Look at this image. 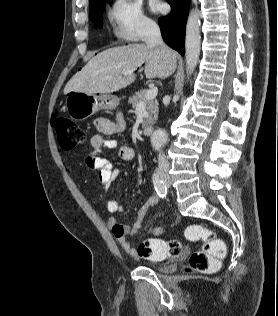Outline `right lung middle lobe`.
Wrapping results in <instances>:
<instances>
[{"instance_id": "obj_1", "label": "right lung middle lobe", "mask_w": 278, "mask_h": 316, "mask_svg": "<svg viewBox=\"0 0 278 316\" xmlns=\"http://www.w3.org/2000/svg\"><path fill=\"white\" fill-rule=\"evenodd\" d=\"M107 0L100 2L98 5L90 9V18L95 26H102V13Z\"/></svg>"}]
</instances>
